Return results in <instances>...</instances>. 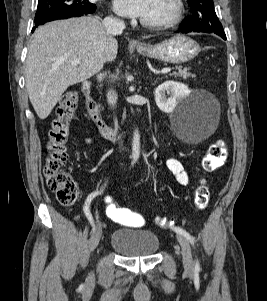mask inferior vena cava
Returning <instances> with one entry per match:
<instances>
[{"mask_svg": "<svg viewBox=\"0 0 267 301\" xmlns=\"http://www.w3.org/2000/svg\"><path fill=\"white\" fill-rule=\"evenodd\" d=\"M102 24L104 25L108 36L121 34L123 29L125 28V24L123 21L113 17H106L103 20ZM106 96H107L108 104L111 106V108H114L117 104V99H118L116 92L113 89H109ZM114 125H115V130H118L117 119L114 120Z\"/></svg>", "mask_w": 267, "mask_h": 301, "instance_id": "602c4592", "label": "inferior vena cava"}]
</instances>
